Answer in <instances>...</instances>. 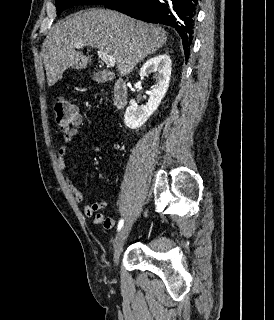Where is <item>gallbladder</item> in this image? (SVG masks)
Returning a JSON list of instances; mask_svg holds the SVG:
<instances>
[{
    "mask_svg": "<svg viewBox=\"0 0 274 320\" xmlns=\"http://www.w3.org/2000/svg\"><path fill=\"white\" fill-rule=\"evenodd\" d=\"M91 73L96 82H107L115 77L114 72H102L101 68H92Z\"/></svg>",
    "mask_w": 274,
    "mask_h": 320,
    "instance_id": "bac80fb5",
    "label": "gallbladder"
}]
</instances>
